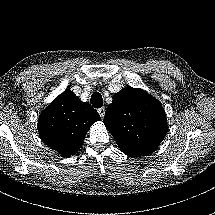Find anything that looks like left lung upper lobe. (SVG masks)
Listing matches in <instances>:
<instances>
[{"label":"left lung upper lobe","instance_id":"left-lung-upper-lobe-1","mask_svg":"<svg viewBox=\"0 0 215 215\" xmlns=\"http://www.w3.org/2000/svg\"><path fill=\"white\" fill-rule=\"evenodd\" d=\"M104 124L120 150L130 157L154 152L168 128L161 103L140 88H122L114 94Z\"/></svg>","mask_w":215,"mask_h":215}]
</instances>
